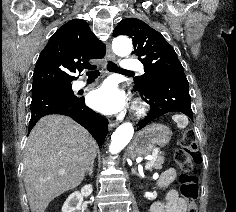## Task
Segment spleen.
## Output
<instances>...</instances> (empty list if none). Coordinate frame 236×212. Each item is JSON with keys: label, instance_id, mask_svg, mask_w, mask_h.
Returning a JSON list of instances; mask_svg holds the SVG:
<instances>
[{"label": "spleen", "instance_id": "spleen-1", "mask_svg": "<svg viewBox=\"0 0 236 212\" xmlns=\"http://www.w3.org/2000/svg\"><path fill=\"white\" fill-rule=\"evenodd\" d=\"M172 119H173V121L176 122L177 127L179 129L185 128L189 123L188 117L186 115H183V114H175V115L172 116Z\"/></svg>", "mask_w": 236, "mask_h": 212}]
</instances>
